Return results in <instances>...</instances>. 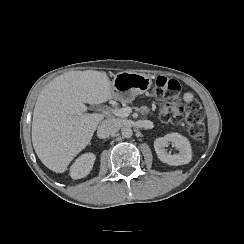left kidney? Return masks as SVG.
Segmentation results:
<instances>
[{"label": "left kidney", "mask_w": 244, "mask_h": 244, "mask_svg": "<svg viewBox=\"0 0 244 244\" xmlns=\"http://www.w3.org/2000/svg\"><path fill=\"white\" fill-rule=\"evenodd\" d=\"M170 143L179 150L177 154L172 155L165 150V147H168ZM154 149L158 159L168 165H185L191 161L190 143L178 133H169L163 137H158L154 141Z\"/></svg>", "instance_id": "left-kidney-1"}]
</instances>
